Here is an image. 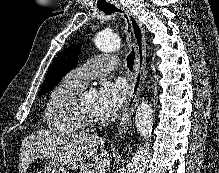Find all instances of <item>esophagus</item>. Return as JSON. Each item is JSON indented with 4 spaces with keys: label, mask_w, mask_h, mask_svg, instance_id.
Returning a JSON list of instances; mask_svg holds the SVG:
<instances>
[{
    "label": "esophagus",
    "mask_w": 219,
    "mask_h": 173,
    "mask_svg": "<svg viewBox=\"0 0 219 173\" xmlns=\"http://www.w3.org/2000/svg\"><path fill=\"white\" fill-rule=\"evenodd\" d=\"M115 6L124 12L131 24L136 49L135 74L132 80V88L116 134L118 141H122L131 126V118L145 79L146 37L145 31L137 18L121 4H116Z\"/></svg>",
    "instance_id": "1"
}]
</instances>
